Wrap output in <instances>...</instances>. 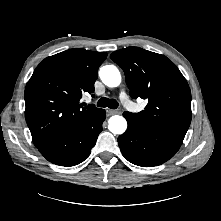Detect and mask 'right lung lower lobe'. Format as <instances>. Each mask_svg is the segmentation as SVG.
Segmentation results:
<instances>
[{"instance_id":"1","label":"right lung lower lobe","mask_w":221,"mask_h":221,"mask_svg":"<svg viewBox=\"0 0 221 221\" xmlns=\"http://www.w3.org/2000/svg\"><path fill=\"white\" fill-rule=\"evenodd\" d=\"M105 117V111L102 109L83 120L69 135L37 148L48 161L54 164L60 166L77 165L91 153V149L102 131Z\"/></svg>"}]
</instances>
